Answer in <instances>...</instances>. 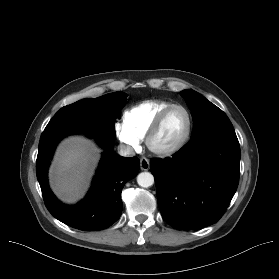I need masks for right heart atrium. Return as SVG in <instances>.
<instances>
[{
	"label": "right heart atrium",
	"mask_w": 279,
	"mask_h": 279,
	"mask_svg": "<svg viewBox=\"0 0 279 279\" xmlns=\"http://www.w3.org/2000/svg\"><path fill=\"white\" fill-rule=\"evenodd\" d=\"M114 129L119 141L129 149L135 150L140 146V139L131 133L122 123H116Z\"/></svg>",
	"instance_id": "obj_1"
}]
</instances>
